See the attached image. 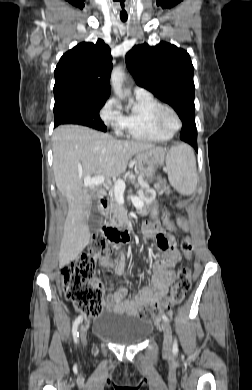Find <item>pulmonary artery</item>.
<instances>
[{"label":"pulmonary artery","mask_w":252,"mask_h":390,"mask_svg":"<svg viewBox=\"0 0 252 390\" xmlns=\"http://www.w3.org/2000/svg\"><path fill=\"white\" fill-rule=\"evenodd\" d=\"M134 94H135V96L145 97V96H148L150 93L142 87H135Z\"/></svg>","instance_id":"obj_1"}]
</instances>
